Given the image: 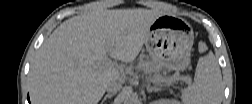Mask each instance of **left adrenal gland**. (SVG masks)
Listing matches in <instances>:
<instances>
[{
  "instance_id": "left-adrenal-gland-1",
  "label": "left adrenal gland",
  "mask_w": 252,
  "mask_h": 104,
  "mask_svg": "<svg viewBox=\"0 0 252 104\" xmlns=\"http://www.w3.org/2000/svg\"><path fill=\"white\" fill-rule=\"evenodd\" d=\"M146 89H147V92H152V91H160L161 90V86H153V87H150L149 84H147L146 86Z\"/></svg>"
}]
</instances>
